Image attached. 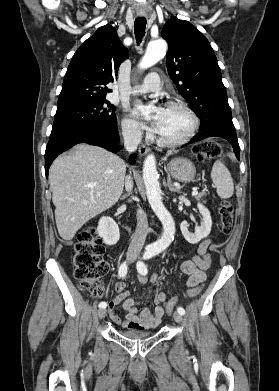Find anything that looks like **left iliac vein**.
Instances as JSON below:
<instances>
[{"mask_svg": "<svg viewBox=\"0 0 279 391\" xmlns=\"http://www.w3.org/2000/svg\"><path fill=\"white\" fill-rule=\"evenodd\" d=\"M173 318L178 323H183V321H184L183 316L178 312H174Z\"/></svg>", "mask_w": 279, "mask_h": 391, "instance_id": "obj_1", "label": "left iliac vein"}]
</instances>
